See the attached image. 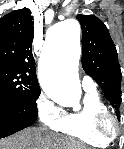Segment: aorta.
Here are the masks:
<instances>
[{
	"mask_svg": "<svg viewBox=\"0 0 124 149\" xmlns=\"http://www.w3.org/2000/svg\"><path fill=\"white\" fill-rule=\"evenodd\" d=\"M80 25L75 19L55 24L40 58L39 82L45 94L67 106L81 98L78 76Z\"/></svg>",
	"mask_w": 124,
	"mask_h": 149,
	"instance_id": "obj_1",
	"label": "aorta"
}]
</instances>
